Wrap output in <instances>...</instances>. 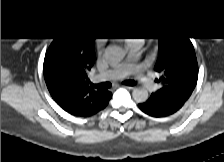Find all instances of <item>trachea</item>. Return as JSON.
<instances>
[{
	"instance_id": "trachea-1",
	"label": "trachea",
	"mask_w": 224,
	"mask_h": 162,
	"mask_svg": "<svg viewBox=\"0 0 224 162\" xmlns=\"http://www.w3.org/2000/svg\"><path fill=\"white\" fill-rule=\"evenodd\" d=\"M123 84L128 85V86H134L136 84V82L132 81V80H127V81H124ZM111 86H112V84L110 82L93 84V87L98 88V89H108Z\"/></svg>"
}]
</instances>
